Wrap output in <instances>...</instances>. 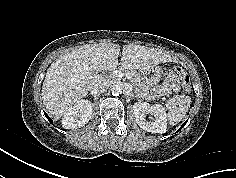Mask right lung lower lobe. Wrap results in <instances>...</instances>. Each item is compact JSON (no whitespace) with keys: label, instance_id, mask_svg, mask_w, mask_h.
I'll list each match as a JSON object with an SVG mask.
<instances>
[{"label":"right lung lower lobe","instance_id":"right-lung-lower-lobe-1","mask_svg":"<svg viewBox=\"0 0 236 178\" xmlns=\"http://www.w3.org/2000/svg\"><path fill=\"white\" fill-rule=\"evenodd\" d=\"M44 114L47 117V119L49 120V122L52 124L53 123L52 119L46 113H44Z\"/></svg>","mask_w":236,"mask_h":178}]
</instances>
